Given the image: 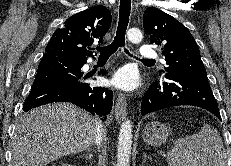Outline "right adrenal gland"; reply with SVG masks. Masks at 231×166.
I'll return each instance as SVG.
<instances>
[{"instance_id":"right-adrenal-gland-1","label":"right adrenal gland","mask_w":231,"mask_h":166,"mask_svg":"<svg viewBox=\"0 0 231 166\" xmlns=\"http://www.w3.org/2000/svg\"><path fill=\"white\" fill-rule=\"evenodd\" d=\"M85 156V159L89 160L90 161V164L92 166V157H93V154H92V150L89 148L88 151H87V154L84 155Z\"/></svg>"}]
</instances>
